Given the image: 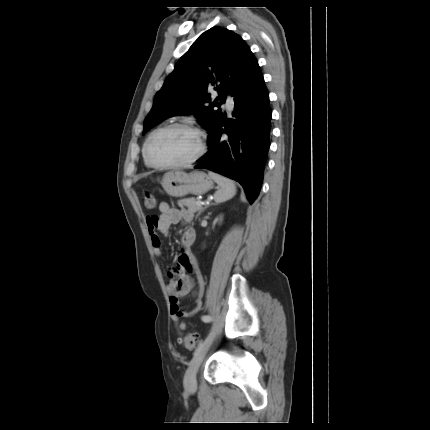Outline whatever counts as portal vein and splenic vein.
Here are the masks:
<instances>
[{
    "label": "portal vein and splenic vein",
    "mask_w": 430,
    "mask_h": 430,
    "mask_svg": "<svg viewBox=\"0 0 430 430\" xmlns=\"http://www.w3.org/2000/svg\"><path fill=\"white\" fill-rule=\"evenodd\" d=\"M196 204H197L198 206H202V205H204L205 203H204L203 201L198 200V201L196 202Z\"/></svg>",
    "instance_id": "1"
}]
</instances>
